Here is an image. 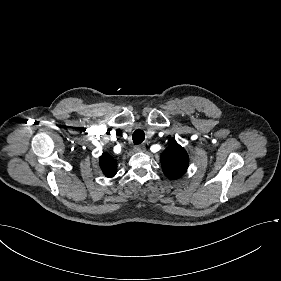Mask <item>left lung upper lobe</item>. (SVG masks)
Listing matches in <instances>:
<instances>
[{
    "mask_svg": "<svg viewBox=\"0 0 281 281\" xmlns=\"http://www.w3.org/2000/svg\"><path fill=\"white\" fill-rule=\"evenodd\" d=\"M189 157L184 148L177 143L170 144L161 154V165L164 174L170 179L183 176L188 168Z\"/></svg>",
    "mask_w": 281,
    "mask_h": 281,
    "instance_id": "left-lung-upper-lobe-1",
    "label": "left lung upper lobe"
}]
</instances>
